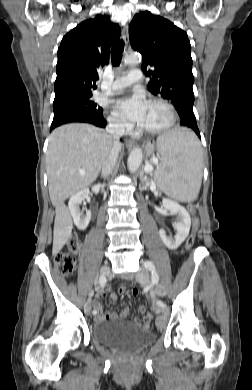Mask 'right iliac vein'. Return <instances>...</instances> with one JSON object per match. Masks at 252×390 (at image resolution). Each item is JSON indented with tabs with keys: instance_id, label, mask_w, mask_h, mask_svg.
I'll list each match as a JSON object with an SVG mask.
<instances>
[{
	"instance_id": "obj_1",
	"label": "right iliac vein",
	"mask_w": 252,
	"mask_h": 390,
	"mask_svg": "<svg viewBox=\"0 0 252 390\" xmlns=\"http://www.w3.org/2000/svg\"><path fill=\"white\" fill-rule=\"evenodd\" d=\"M110 272V267L109 265L105 264L101 267L100 269V274H104V276H107ZM84 311L86 314L91 315L92 314V306L91 303H86L84 306Z\"/></svg>"
}]
</instances>
